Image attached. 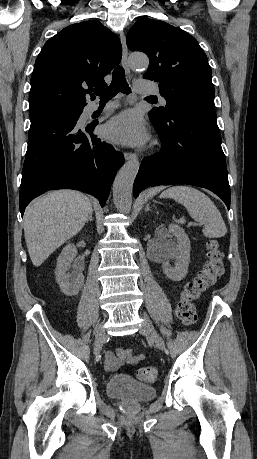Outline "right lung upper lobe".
I'll return each instance as SVG.
<instances>
[{"mask_svg":"<svg viewBox=\"0 0 257 459\" xmlns=\"http://www.w3.org/2000/svg\"><path fill=\"white\" fill-rule=\"evenodd\" d=\"M121 55L118 36L99 21L66 27L45 43L35 61L30 114L84 107L85 94L93 86H106L104 77L120 62Z\"/></svg>","mask_w":257,"mask_h":459,"instance_id":"obj_1","label":"right lung upper lobe"}]
</instances>
